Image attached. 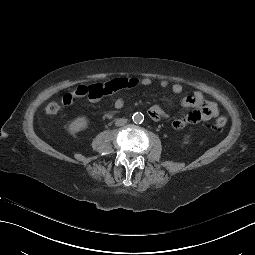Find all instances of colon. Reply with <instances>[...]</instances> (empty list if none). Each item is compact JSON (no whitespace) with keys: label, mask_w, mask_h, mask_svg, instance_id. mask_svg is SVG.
Masks as SVG:
<instances>
[{"label":"colon","mask_w":255,"mask_h":255,"mask_svg":"<svg viewBox=\"0 0 255 255\" xmlns=\"http://www.w3.org/2000/svg\"><path fill=\"white\" fill-rule=\"evenodd\" d=\"M60 110V106L57 102H50L45 107L46 114L52 116L56 115ZM227 123V118L225 116H219L216 120L208 125L211 132H220L224 129Z\"/></svg>","instance_id":"colon-1"}]
</instances>
